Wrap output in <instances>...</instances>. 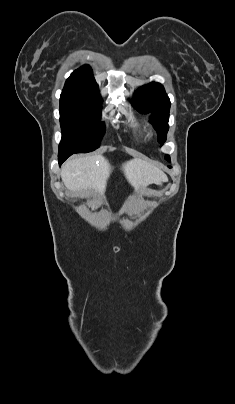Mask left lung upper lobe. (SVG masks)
Wrapping results in <instances>:
<instances>
[{
  "mask_svg": "<svg viewBox=\"0 0 235 404\" xmlns=\"http://www.w3.org/2000/svg\"><path fill=\"white\" fill-rule=\"evenodd\" d=\"M132 105L141 113L151 114V123L158 134V142L163 144L169 129L170 100L160 83L152 82L140 87L133 96ZM170 161V156L165 155Z\"/></svg>",
  "mask_w": 235,
  "mask_h": 404,
  "instance_id": "5c2ea615",
  "label": "left lung upper lobe"
}]
</instances>
